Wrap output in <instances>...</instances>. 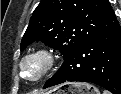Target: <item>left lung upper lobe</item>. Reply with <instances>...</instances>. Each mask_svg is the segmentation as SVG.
Wrapping results in <instances>:
<instances>
[{
	"label": "left lung upper lobe",
	"instance_id": "obj_1",
	"mask_svg": "<svg viewBox=\"0 0 121 94\" xmlns=\"http://www.w3.org/2000/svg\"><path fill=\"white\" fill-rule=\"evenodd\" d=\"M116 19L108 0H41L21 41L61 51L64 60L83 42Z\"/></svg>",
	"mask_w": 121,
	"mask_h": 94
}]
</instances>
